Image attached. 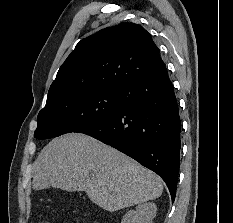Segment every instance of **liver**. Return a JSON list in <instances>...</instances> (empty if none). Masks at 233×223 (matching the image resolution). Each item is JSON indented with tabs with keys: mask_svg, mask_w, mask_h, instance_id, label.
<instances>
[{
	"mask_svg": "<svg viewBox=\"0 0 233 223\" xmlns=\"http://www.w3.org/2000/svg\"><path fill=\"white\" fill-rule=\"evenodd\" d=\"M93 177V179H92ZM85 191L107 211L160 197V177L125 153L84 133H66L43 147L33 163V189Z\"/></svg>",
	"mask_w": 233,
	"mask_h": 223,
	"instance_id": "6515ba94",
	"label": "liver"
}]
</instances>
